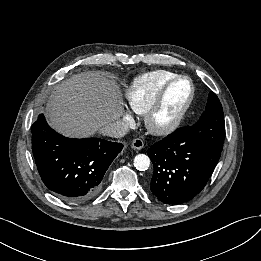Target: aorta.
<instances>
[{
	"label": "aorta",
	"instance_id": "762f6f07",
	"mask_svg": "<svg viewBox=\"0 0 261 261\" xmlns=\"http://www.w3.org/2000/svg\"><path fill=\"white\" fill-rule=\"evenodd\" d=\"M134 166L137 170L145 171L150 166V159L145 154H138L134 158Z\"/></svg>",
	"mask_w": 261,
	"mask_h": 261
}]
</instances>
